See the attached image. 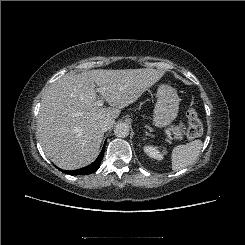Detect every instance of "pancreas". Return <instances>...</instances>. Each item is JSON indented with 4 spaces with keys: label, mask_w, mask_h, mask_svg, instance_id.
<instances>
[{
    "label": "pancreas",
    "mask_w": 245,
    "mask_h": 245,
    "mask_svg": "<svg viewBox=\"0 0 245 245\" xmlns=\"http://www.w3.org/2000/svg\"><path fill=\"white\" fill-rule=\"evenodd\" d=\"M169 129L173 132L176 139L181 140L183 138V134L185 133V130L182 126L172 125Z\"/></svg>",
    "instance_id": "obj_1"
}]
</instances>
